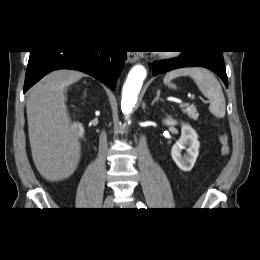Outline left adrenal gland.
<instances>
[{"label": "left adrenal gland", "mask_w": 260, "mask_h": 260, "mask_svg": "<svg viewBox=\"0 0 260 260\" xmlns=\"http://www.w3.org/2000/svg\"><path fill=\"white\" fill-rule=\"evenodd\" d=\"M162 101V99H160V90H158L157 91V95H156V97L154 98V100L152 101V103H151V105H154V103L156 102V101Z\"/></svg>", "instance_id": "left-adrenal-gland-1"}]
</instances>
